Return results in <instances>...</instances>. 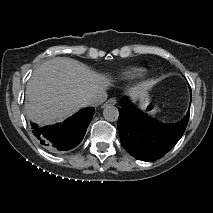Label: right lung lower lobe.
Returning <instances> with one entry per match:
<instances>
[{
    "instance_id": "right-lung-lower-lobe-1",
    "label": "right lung lower lobe",
    "mask_w": 213,
    "mask_h": 213,
    "mask_svg": "<svg viewBox=\"0 0 213 213\" xmlns=\"http://www.w3.org/2000/svg\"><path fill=\"white\" fill-rule=\"evenodd\" d=\"M94 113V108H84L63 123L42 128L32 124L33 134L41 144L57 150H70L82 141Z\"/></svg>"
}]
</instances>
